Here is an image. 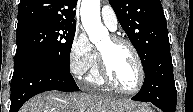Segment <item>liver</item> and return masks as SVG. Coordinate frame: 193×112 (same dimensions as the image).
<instances>
[{
  "label": "liver",
  "mask_w": 193,
  "mask_h": 112,
  "mask_svg": "<svg viewBox=\"0 0 193 112\" xmlns=\"http://www.w3.org/2000/svg\"><path fill=\"white\" fill-rule=\"evenodd\" d=\"M139 103L83 93H41L27 101L20 112H121Z\"/></svg>",
  "instance_id": "6515ba94"
}]
</instances>
